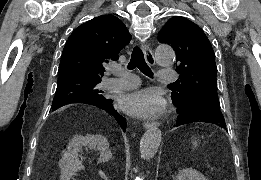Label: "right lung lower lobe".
<instances>
[{
	"instance_id": "98d812e1",
	"label": "right lung lower lobe",
	"mask_w": 261,
	"mask_h": 180,
	"mask_svg": "<svg viewBox=\"0 0 261 180\" xmlns=\"http://www.w3.org/2000/svg\"><path fill=\"white\" fill-rule=\"evenodd\" d=\"M72 102L86 103V104L94 105V106H97V107H100V108L106 110L108 113H110L112 116H114L116 118V121L119 123L121 128L125 131L126 120L123 116L119 115L117 113V111L114 109V107L112 106L111 99H107L104 97V98L98 99V100L78 99V100H74ZM72 102H69V103H72Z\"/></svg>"
}]
</instances>
